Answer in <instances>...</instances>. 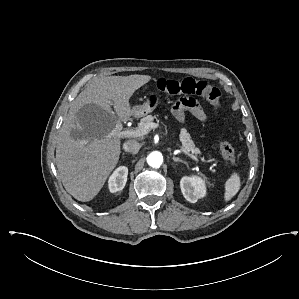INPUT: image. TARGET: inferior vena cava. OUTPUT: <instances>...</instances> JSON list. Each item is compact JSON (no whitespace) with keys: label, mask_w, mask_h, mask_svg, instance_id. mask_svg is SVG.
<instances>
[{"label":"inferior vena cava","mask_w":299,"mask_h":299,"mask_svg":"<svg viewBox=\"0 0 299 299\" xmlns=\"http://www.w3.org/2000/svg\"><path fill=\"white\" fill-rule=\"evenodd\" d=\"M141 148V144L135 140H129L123 144V149L127 152L136 154Z\"/></svg>","instance_id":"obj_1"}]
</instances>
